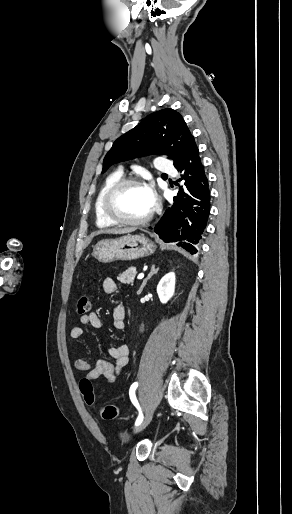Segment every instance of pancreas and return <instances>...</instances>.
I'll list each match as a JSON object with an SVG mask.
<instances>
[{"mask_svg": "<svg viewBox=\"0 0 292 514\" xmlns=\"http://www.w3.org/2000/svg\"><path fill=\"white\" fill-rule=\"evenodd\" d=\"M136 274V268H128L126 272H123V274H119L117 280H119L121 284H133V280Z\"/></svg>", "mask_w": 292, "mask_h": 514, "instance_id": "1", "label": "pancreas"}]
</instances>
